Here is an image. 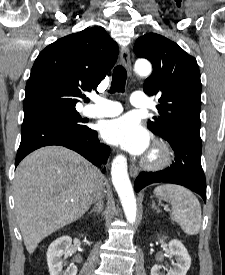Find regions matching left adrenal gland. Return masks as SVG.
Here are the masks:
<instances>
[{
	"label": "left adrenal gland",
	"mask_w": 225,
	"mask_h": 275,
	"mask_svg": "<svg viewBox=\"0 0 225 275\" xmlns=\"http://www.w3.org/2000/svg\"><path fill=\"white\" fill-rule=\"evenodd\" d=\"M152 209L156 210L157 212H160L159 208L155 206V202H152Z\"/></svg>",
	"instance_id": "1"
}]
</instances>
